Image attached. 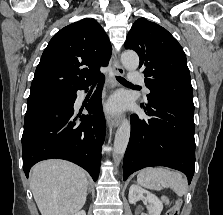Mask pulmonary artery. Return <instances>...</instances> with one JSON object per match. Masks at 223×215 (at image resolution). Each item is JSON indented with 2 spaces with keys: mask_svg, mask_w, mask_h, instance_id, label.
Instances as JSON below:
<instances>
[{
  "mask_svg": "<svg viewBox=\"0 0 223 215\" xmlns=\"http://www.w3.org/2000/svg\"><path fill=\"white\" fill-rule=\"evenodd\" d=\"M130 78L132 82H135V86L137 87H144L145 86V77H143V73H130ZM141 94H144V97H147L149 93L148 89H141Z\"/></svg>",
  "mask_w": 223,
  "mask_h": 215,
  "instance_id": "obj_1",
  "label": "pulmonary artery"
}]
</instances>
